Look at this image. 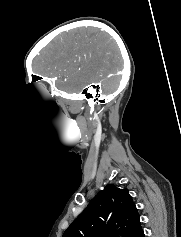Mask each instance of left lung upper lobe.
I'll return each instance as SVG.
<instances>
[{
	"label": "left lung upper lobe",
	"mask_w": 181,
	"mask_h": 237,
	"mask_svg": "<svg viewBox=\"0 0 181 237\" xmlns=\"http://www.w3.org/2000/svg\"><path fill=\"white\" fill-rule=\"evenodd\" d=\"M116 224L124 237H136L141 231L138 210L128 189L113 184L100 191L86 209L72 222L62 237H118Z\"/></svg>",
	"instance_id": "left-lung-upper-lobe-1"
}]
</instances>
